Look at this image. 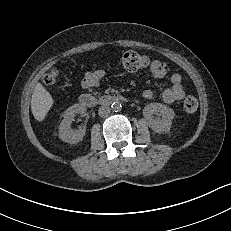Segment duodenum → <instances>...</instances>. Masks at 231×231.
Instances as JSON below:
<instances>
[{"instance_id":"410a0bca","label":"duodenum","mask_w":231,"mask_h":231,"mask_svg":"<svg viewBox=\"0 0 231 231\" xmlns=\"http://www.w3.org/2000/svg\"><path fill=\"white\" fill-rule=\"evenodd\" d=\"M126 100L127 99L124 96L119 94H108L102 97H95L91 94H82L79 98L80 104L85 107L109 105L114 102H124Z\"/></svg>"}]
</instances>
